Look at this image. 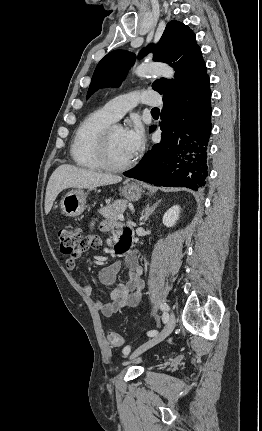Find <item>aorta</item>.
<instances>
[{"instance_id": "aorta-1", "label": "aorta", "mask_w": 262, "mask_h": 431, "mask_svg": "<svg viewBox=\"0 0 262 431\" xmlns=\"http://www.w3.org/2000/svg\"><path fill=\"white\" fill-rule=\"evenodd\" d=\"M174 73V69L164 63L145 62L135 69V74L138 77L161 76L167 79H173Z\"/></svg>"}]
</instances>
